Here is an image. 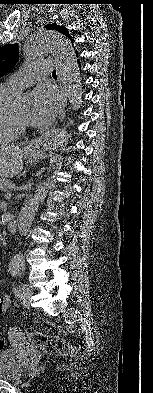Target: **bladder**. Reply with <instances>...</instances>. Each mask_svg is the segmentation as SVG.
Masks as SVG:
<instances>
[{
	"label": "bladder",
	"mask_w": 153,
	"mask_h": 393,
	"mask_svg": "<svg viewBox=\"0 0 153 393\" xmlns=\"http://www.w3.org/2000/svg\"><path fill=\"white\" fill-rule=\"evenodd\" d=\"M24 374V369L17 360V353L8 349L0 353V379L16 381Z\"/></svg>",
	"instance_id": "bladder-1"
}]
</instances>
